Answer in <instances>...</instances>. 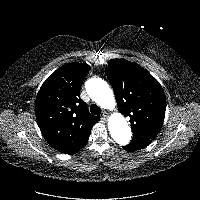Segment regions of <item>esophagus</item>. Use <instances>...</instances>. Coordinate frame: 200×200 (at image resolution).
Masks as SVG:
<instances>
[{"label": "esophagus", "mask_w": 200, "mask_h": 200, "mask_svg": "<svg viewBox=\"0 0 200 200\" xmlns=\"http://www.w3.org/2000/svg\"><path fill=\"white\" fill-rule=\"evenodd\" d=\"M107 118H108V113L107 112H103L102 119L106 120Z\"/></svg>", "instance_id": "esophagus-1"}]
</instances>
